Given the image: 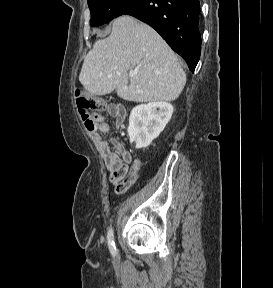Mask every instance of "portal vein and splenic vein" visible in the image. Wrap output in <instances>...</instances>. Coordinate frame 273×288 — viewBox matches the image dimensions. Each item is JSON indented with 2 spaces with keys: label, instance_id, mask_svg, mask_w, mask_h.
Returning <instances> with one entry per match:
<instances>
[{
  "label": "portal vein and splenic vein",
  "instance_id": "obj_1",
  "mask_svg": "<svg viewBox=\"0 0 273 288\" xmlns=\"http://www.w3.org/2000/svg\"><path fill=\"white\" fill-rule=\"evenodd\" d=\"M134 75H135V72H133V71H130V72H129V76H130V77H133Z\"/></svg>",
  "mask_w": 273,
  "mask_h": 288
}]
</instances>
